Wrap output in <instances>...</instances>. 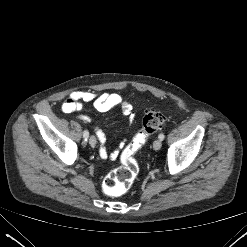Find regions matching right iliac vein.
Here are the masks:
<instances>
[{
	"mask_svg": "<svg viewBox=\"0 0 247 247\" xmlns=\"http://www.w3.org/2000/svg\"><path fill=\"white\" fill-rule=\"evenodd\" d=\"M96 143H97V140H96L95 136H90V138H89V144L92 147H94L96 145Z\"/></svg>",
	"mask_w": 247,
	"mask_h": 247,
	"instance_id": "right-iliac-vein-1",
	"label": "right iliac vein"
}]
</instances>
